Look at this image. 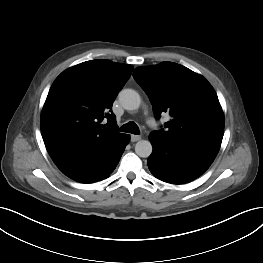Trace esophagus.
<instances>
[{
    "mask_svg": "<svg viewBox=\"0 0 263 263\" xmlns=\"http://www.w3.org/2000/svg\"><path fill=\"white\" fill-rule=\"evenodd\" d=\"M130 138H131L132 142H136V141L141 140V136L140 135H131Z\"/></svg>",
    "mask_w": 263,
    "mask_h": 263,
    "instance_id": "obj_1",
    "label": "esophagus"
}]
</instances>
